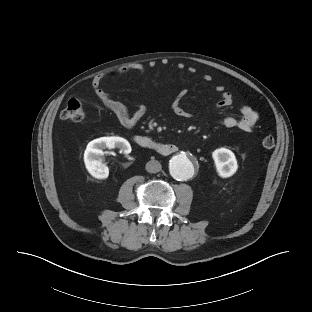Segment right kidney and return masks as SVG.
I'll return each instance as SVG.
<instances>
[{
	"label": "right kidney",
	"instance_id": "1",
	"mask_svg": "<svg viewBox=\"0 0 312 312\" xmlns=\"http://www.w3.org/2000/svg\"><path fill=\"white\" fill-rule=\"evenodd\" d=\"M118 148L120 153L129 154L131 152L130 143L121 137H101L88 143L84 162L88 172L97 179H106L109 175V169L103 163V149Z\"/></svg>",
	"mask_w": 312,
	"mask_h": 312
}]
</instances>
